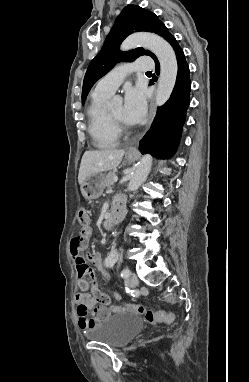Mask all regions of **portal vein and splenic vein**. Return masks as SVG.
<instances>
[{
    "mask_svg": "<svg viewBox=\"0 0 249 382\" xmlns=\"http://www.w3.org/2000/svg\"><path fill=\"white\" fill-rule=\"evenodd\" d=\"M113 181H114V182H117V181H118V177L115 176V177L113 178Z\"/></svg>",
    "mask_w": 249,
    "mask_h": 382,
    "instance_id": "18ae733b",
    "label": "portal vein and splenic vein"
}]
</instances>
